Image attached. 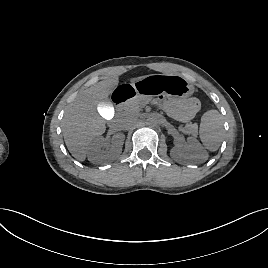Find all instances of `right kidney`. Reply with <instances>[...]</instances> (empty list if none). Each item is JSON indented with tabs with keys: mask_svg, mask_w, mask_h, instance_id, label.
<instances>
[{
	"mask_svg": "<svg viewBox=\"0 0 268 268\" xmlns=\"http://www.w3.org/2000/svg\"><path fill=\"white\" fill-rule=\"evenodd\" d=\"M124 139L123 134L114 135L111 141L103 137L95 138L88 148V160L99 165L113 162L122 152Z\"/></svg>",
	"mask_w": 268,
	"mask_h": 268,
	"instance_id": "obj_1",
	"label": "right kidney"
}]
</instances>
